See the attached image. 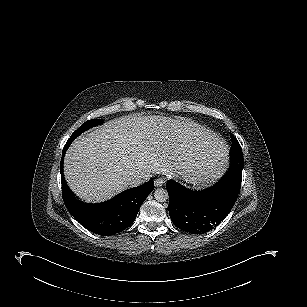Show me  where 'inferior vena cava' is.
Returning a JSON list of instances; mask_svg holds the SVG:
<instances>
[{
	"mask_svg": "<svg viewBox=\"0 0 307 307\" xmlns=\"http://www.w3.org/2000/svg\"><path fill=\"white\" fill-rule=\"evenodd\" d=\"M148 179H149L148 175H140V176H137V177L133 178L130 181L129 185H130V187H136V186H139V185L143 184Z\"/></svg>",
	"mask_w": 307,
	"mask_h": 307,
	"instance_id": "1",
	"label": "inferior vena cava"
}]
</instances>
